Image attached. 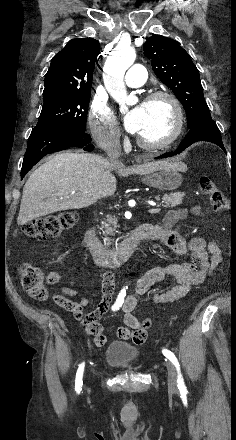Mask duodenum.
Segmentation results:
<instances>
[{
  "mask_svg": "<svg viewBox=\"0 0 236 440\" xmlns=\"http://www.w3.org/2000/svg\"><path fill=\"white\" fill-rule=\"evenodd\" d=\"M154 226L142 224L135 227L126 240L115 249H107L96 236L92 227L86 229L84 242L89 248L97 265L104 268L119 267L132 252H134L143 241L152 238Z\"/></svg>",
  "mask_w": 236,
  "mask_h": 440,
  "instance_id": "duodenum-1",
  "label": "duodenum"
}]
</instances>
